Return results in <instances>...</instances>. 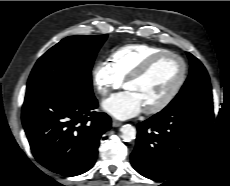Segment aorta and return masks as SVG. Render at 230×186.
I'll list each match as a JSON object with an SVG mask.
<instances>
[{
    "label": "aorta",
    "mask_w": 230,
    "mask_h": 186,
    "mask_svg": "<svg viewBox=\"0 0 230 186\" xmlns=\"http://www.w3.org/2000/svg\"><path fill=\"white\" fill-rule=\"evenodd\" d=\"M121 137L125 142H130L136 138V129L130 124L123 125L120 128Z\"/></svg>",
    "instance_id": "762f6f07"
}]
</instances>
